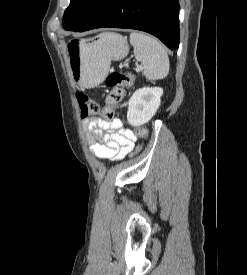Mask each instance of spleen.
Segmentation results:
<instances>
[{"label":"spleen","mask_w":247,"mask_h":275,"mask_svg":"<svg viewBox=\"0 0 247 275\" xmlns=\"http://www.w3.org/2000/svg\"><path fill=\"white\" fill-rule=\"evenodd\" d=\"M129 39L135 58L143 65L145 77L149 80L165 78L169 73L170 64L164 45L142 32H132ZM104 40L105 34L100 35L98 42Z\"/></svg>","instance_id":"3e777b00"}]
</instances>
